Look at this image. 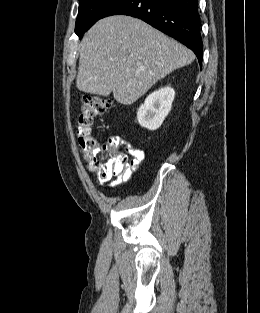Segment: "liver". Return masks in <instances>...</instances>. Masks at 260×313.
<instances>
[{
  "label": "liver",
  "mask_w": 260,
  "mask_h": 313,
  "mask_svg": "<svg viewBox=\"0 0 260 313\" xmlns=\"http://www.w3.org/2000/svg\"><path fill=\"white\" fill-rule=\"evenodd\" d=\"M194 53L144 21L116 15L99 20L80 44L77 88L130 105L158 80L190 64Z\"/></svg>",
  "instance_id": "1"
}]
</instances>
